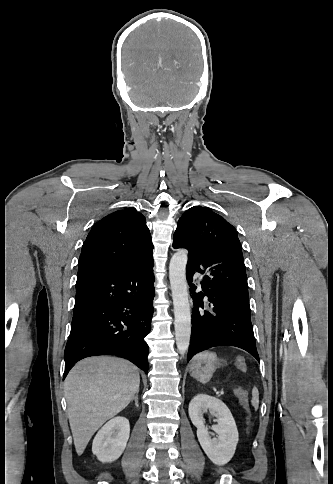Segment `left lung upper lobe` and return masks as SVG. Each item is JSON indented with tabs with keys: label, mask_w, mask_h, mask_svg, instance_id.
Wrapping results in <instances>:
<instances>
[{
	"label": "left lung upper lobe",
	"mask_w": 333,
	"mask_h": 484,
	"mask_svg": "<svg viewBox=\"0 0 333 484\" xmlns=\"http://www.w3.org/2000/svg\"><path fill=\"white\" fill-rule=\"evenodd\" d=\"M179 232L194 244L222 237H233L240 244L235 228L207 207L194 206L185 211L174 235Z\"/></svg>",
	"instance_id": "obj_1"
}]
</instances>
